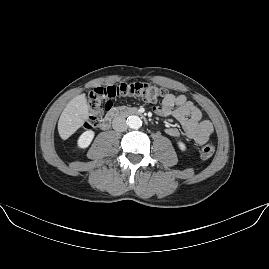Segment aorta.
Here are the masks:
<instances>
[{"instance_id": "obj_1", "label": "aorta", "mask_w": 269, "mask_h": 269, "mask_svg": "<svg viewBox=\"0 0 269 269\" xmlns=\"http://www.w3.org/2000/svg\"><path fill=\"white\" fill-rule=\"evenodd\" d=\"M127 124L130 128L139 129L142 125V120L136 115H131L128 117Z\"/></svg>"}]
</instances>
